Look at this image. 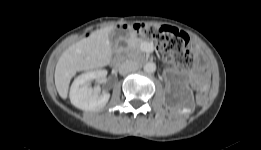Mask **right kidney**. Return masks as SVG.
<instances>
[{
	"mask_svg": "<svg viewBox=\"0 0 261 150\" xmlns=\"http://www.w3.org/2000/svg\"><path fill=\"white\" fill-rule=\"evenodd\" d=\"M106 74L105 70H96L78 76L71 85V103L84 111H96L103 108L107 104L110 94L108 92L100 94L99 87L91 88L90 85L93 80H99Z\"/></svg>",
	"mask_w": 261,
	"mask_h": 150,
	"instance_id": "obj_1",
	"label": "right kidney"
}]
</instances>
